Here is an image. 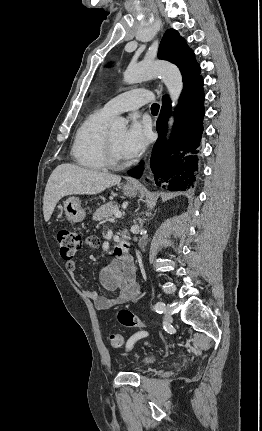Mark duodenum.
I'll list each match as a JSON object with an SVG mask.
<instances>
[{
  "instance_id": "obj_1",
  "label": "duodenum",
  "mask_w": 262,
  "mask_h": 431,
  "mask_svg": "<svg viewBox=\"0 0 262 431\" xmlns=\"http://www.w3.org/2000/svg\"><path fill=\"white\" fill-rule=\"evenodd\" d=\"M118 248V252L123 258L128 257V249L126 248V246L120 244L118 245Z\"/></svg>"
}]
</instances>
